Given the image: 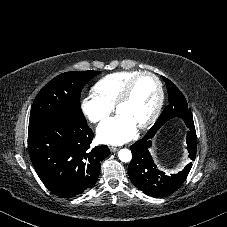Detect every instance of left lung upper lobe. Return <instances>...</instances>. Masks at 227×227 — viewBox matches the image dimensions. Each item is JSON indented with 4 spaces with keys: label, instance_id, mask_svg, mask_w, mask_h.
<instances>
[{
    "label": "left lung upper lobe",
    "instance_id": "1",
    "mask_svg": "<svg viewBox=\"0 0 227 227\" xmlns=\"http://www.w3.org/2000/svg\"><path fill=\"white\" fill-rule=\"evenodd\" d=\"M163 80L167 86L169 105L165 107L146 135H154L161 126L174 117L183 119L186 124L193 121L191 110L187 106L184 95L169 79L163 77Z\"/></svg>",
    "mask_w": 227,
    "mask_h": 227
}]
</instances>
